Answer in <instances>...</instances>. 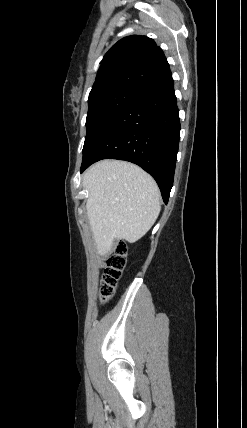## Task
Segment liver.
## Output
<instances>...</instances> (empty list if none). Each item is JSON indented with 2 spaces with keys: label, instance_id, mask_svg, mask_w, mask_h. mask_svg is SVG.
I'll use <instances>...</instances> for the list:
<instances>
[{
  "label": "liver",
  "instance_id": "liver-1",
  "mask_svg": "<svg viewBox=\"0 0 247 428\" xmlns=\"http://www.w3.org/2000/svg\"><path fill=\"white\" fill-rule=\"evenodd\" d=\"M89 196L87 216L97 251L106 255L114 240L133 243L155 223L161 209L160 191L153 178L129 162L104 160L83 177Z\"/></svg>",
  "mask_w": 247,
  "mask_h": 428
}]
</instances>
